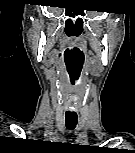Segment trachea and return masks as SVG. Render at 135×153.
Instances as JSON below:
<instances>
[{"instance_id": "trachea-1", "label": "trachea", "mask_w": 135, "mask_h": 153, "mask_svg": "<svg viewBox=\"0 0 135 153\" xmlns=\"http://www.w3.org/2000/svg\"><path fill=\"white\" fill-rule=\"evenodd\" d=\"M65 120H66V127L69 130H73L77 124V114L71 113V112H66L65 113Z\"/></svg>"}]
</instances>
